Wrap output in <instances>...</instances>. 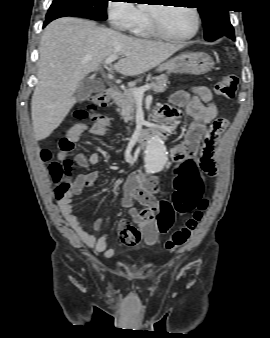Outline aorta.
Masks as SVG:
<instances>
[{
	"mask_svg": "<svg viewBox=\"0 0 270 338\" xmlns=\"http://www.w3.org/2000/svg\"><path fill=\"white\" fill-rule=\"evenodd\" d=\"M167 163L166 149L159 136H154L147 144L145 152V168L147 173L162 171Z\"/></svg>",
	"mask_w": 270,
	"mask_h": 338,
	"instance_id": "762f6f07",
	"label": "aorta"
}]
</instances>
